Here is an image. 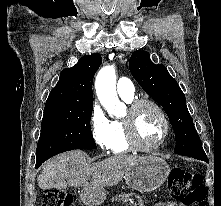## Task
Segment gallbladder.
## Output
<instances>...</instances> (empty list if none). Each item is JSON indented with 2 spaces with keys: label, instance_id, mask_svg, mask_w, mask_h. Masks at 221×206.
Wrapping results in <instances>:
<instances>
[{
  "label": "gallbladder",
  "instance_id": "obj_1",
  "mask_svg": "<svg viewBox=\"0 0 221 206\" xmlns=\"http://www.w3.org/2000/svg\"><path fill=\"white\" fill-rule=\"evenodd\" d=\"M63 181L54 180V181H39L40 190H50L51 194L55 193V190H60Z\"/></svg>",
  "mask_w": 221,
  "mask_h": 206
}]
</instances>
